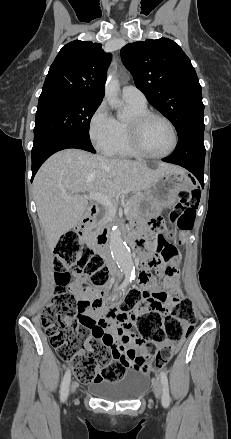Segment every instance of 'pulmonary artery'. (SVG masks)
Masks as SVG:
<instances>
[{
	"instance_id": "pulmonary-artery-1",
	"label": "pulmonary artery",
	"mask_w": 231,
	"mask_h": 439,
	"mask_svg": "<svg viewBox=\"0 0 231 439\" xmlns=\"http://www.w3.org/2000/svg\"><path fill=\"white\" fill-rule=\"evenodd\" d=\"M123 98L127 102L146 105L147 100L144 93L134 85H127L122 90Z\"/></svg>"
}]
</instances>
